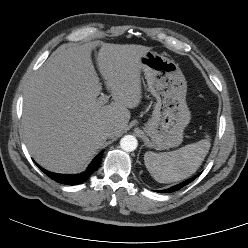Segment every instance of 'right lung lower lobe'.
I'll list each match as a JSON object with an SVG mask.
<instances>
[{"label":"right lung lower lobe","mask_w":248,"mask_h":248,"mask_svg":"<svg viewBox=\"0 0 248 248\" xmlns=\"http://www.w3.org/2000/svg\"><path fill=\"white\" fill-rule=\"evenodd\" d=\"M103 151L98 154L93 161L90 163L87 170L81 174L76 175H68V174H57L53 172H49L47 170L42 169L38 166L47 176H49L54 181L66 184V185H77L80 183L85 182L99 167L101 160H102Z\"/></svg>","instance_id":"right-lung-lower-lobe-1"}]
</instances>
